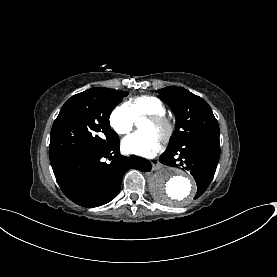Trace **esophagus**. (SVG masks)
Here are the masks:
<instances>
[{
  "mask_svg": "<svg viewBox=\"0 0 277 277\" xmlns=\"http://www.w3.org/2000/svg\"><path fill=\"white\" fill-rule=\"evenodd\" d=\"M150 162L152 165V170H154V171L159 170L163 167V165L159 162L158 158H154Z\"/></svg>",
  "mask_w": 277,
  "mask_h": 277,
  "instance_id": "obj_1",
  "label": "esophagus"
}]
</instances>
